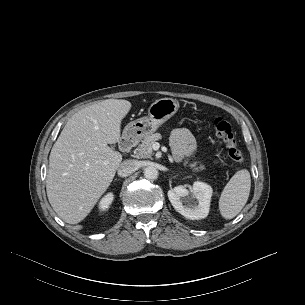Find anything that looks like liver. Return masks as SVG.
<instances>
[{"label":"liver","instance_id":"liver-1","mask_svg":"<svg viewBox=\"0 0 305 305\" xmlns=\"http://www.w3.org/2000/svg\"><path fill=\"white\" fill-rule=\"evenodd\" d=\"M132 105L107 99L75 113L49 156L48 200L66 223L77 224L91 212L109 187L122 155L112 150L121 138V122Z\"/></svg>","mask_w":305,"mask_h":305}]
</instances>
